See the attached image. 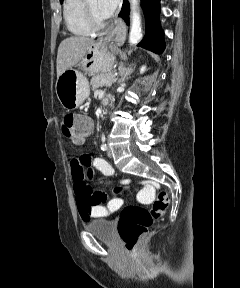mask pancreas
<instances>
[{"label":"pancreas","instance_id":"1","mask_svg":"<svg viewBox=\"0 0 240 288\" xmlns=\"http://www.w3.org/2000/svg\"><path fill=\"white\" fill-rule=\"evenodd\" d=\"M116 78L109 73H97L91 79V85L93 88L99 87H111L115 82Z\"/></svg>","mask_w":240,"mask_h":288}]
</instances>
